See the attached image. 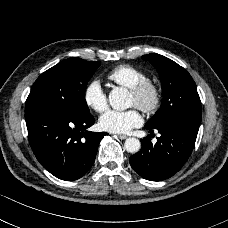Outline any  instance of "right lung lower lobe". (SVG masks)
Instances as JSON below:
<instances>
[{
	"label": "right lung lower lobe",
	"mask_w": 228,
	"mask_h": 228,
	"mask_svg": "<svg viewBox=\"0 0 228 228\" xmlns=\"http://www.w3.org/2000/svg\"><path fill=\"white\" fill-rule=\"evenodd\" d=\"M30 146L41 165L55 177L73 181L93 165L101 139L106 132H91L92 115L41 107L25 112Z\"/></svg>",
	"instance_id": "1"
}]
</instances>
